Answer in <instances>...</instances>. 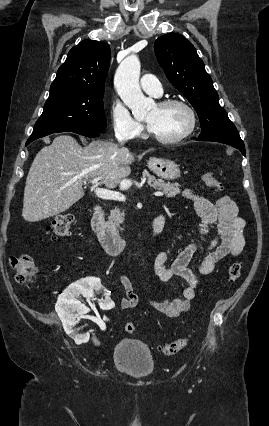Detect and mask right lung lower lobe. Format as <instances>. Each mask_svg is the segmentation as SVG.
Here are the masks:
<instances>
[{
	"instance_id": "right-lung-lower-lobe-1",
	"label": "right lung lower lobe",
	"mask_w": 269,
	"mask_h": 426,
	"mask_svg": "<svg viewBox=\"0 0 269 426\" xmlns=\"http://www.w3.org/2000/svg\"><path fill=\"white\" fill-rule=\"evenodd\" d=\"M75 133H78V134H80V135H83V136H87V137L93 138V137H98L100 132L92 131V130H88V129H82V130H79V131H77V132H75ZM30 142H32V141H31V140H28V141H27V144H29Z\"/></svg>"
}]
</instances>
